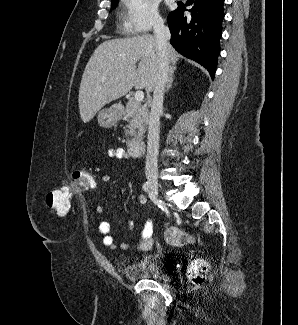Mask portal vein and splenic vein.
<instances>
[{"instance_id": "18ae733b", "label": "portal vein and splenic vein", "mask_w": 298, "mask_h": 325, "mask_svg": "<svg viewBox=\"0 0 298 325\" xmlns=\"http://www.w3.org/2000/svg\"><path fill=\"white\" fill-rule=\"evenodd\" d=\"M143 98H144L143 90H136V92L134 94L135 102H141V100H143Z\"/></svg>"}]
</instances>
